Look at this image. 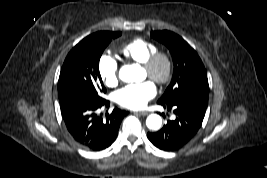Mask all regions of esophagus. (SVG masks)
Wrapping results in <instances>:
<instances>
[{"label": "esophagus", "mask_w": 267, "mask_h": 178, "mask_svg": "<svg viewBox=\"0 0 267 178\" xmlns=\"http://www.w3.org/2000/svg\"><path fill=\"white\" fill-rule=\"evenodd\" d=\"M137 114L142 115V116H146V115L149 114V112H147V111H140V112H137Z\"/></svg>", "instance_id": "34e87169"}]
</instances>
